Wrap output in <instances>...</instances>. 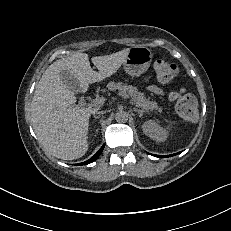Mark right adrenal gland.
Listing matches in <instances>:
<instances>
[{
	"mask_svg": "<svg viewBox=\"0 0 231 231\" xmlns=\"http://www.w3.org/2000/svg\"><path fill=\"white\" fill-rule=\"evenodd\" d=\"M94 118L99 119L100 115H94Z\"/></svg>",
	"mask_w": 231,
	"mask_h": 231,
	"instance_id": "right-adrenal-gland-1",
	"label": "right adrenal gland"
}]
</instances>
